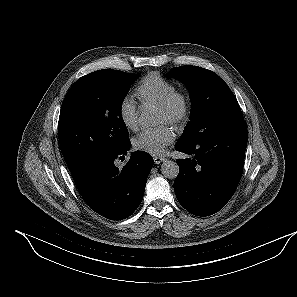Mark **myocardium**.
Listing matches in <instances>:
<instances>
[{
	"instance_id": "myocardium-1",
	"label": "myocardium",
	"mask_w": 297,
	"mask_h": 297,
	"mask_svg": "<svg viewBox=\"0 0 297 297\" xmlns=\"http://www.w3.org/2000/svg\"><path fill=\"white\" fill-rule=\"evenodd\" d=\"M158 107L167 115L168 122L176 128L183 127L191 113L189 98L180 90L173 91Z\"/></svg>"
}]
</instances>
